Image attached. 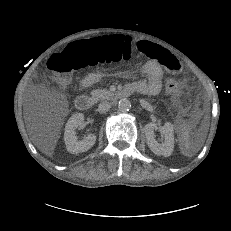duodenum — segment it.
I'll return each instance as SVG.
<instances>
[{"label": "duodenum", "instance_id": "obj_1", "mask_svg": "<svg viewBox=\"0 0 231 231\" xmlns=\"http://www.w3.org/2000/svg\"><path fill=\"white\" fill-rule=\"evenodd\" d=\"M133 92H134L133 87L129 85L127 87H124L121 90L114 92L111 95V97L115 100H119V99L130 96ZM93 104H94L93 98L89 96H84V95L77 97L75 101V105L77 109L82 110V111L89 110L93 106Z\"/></svg>", "mask_w": 231, "mask_h": 231}]
</instances>
